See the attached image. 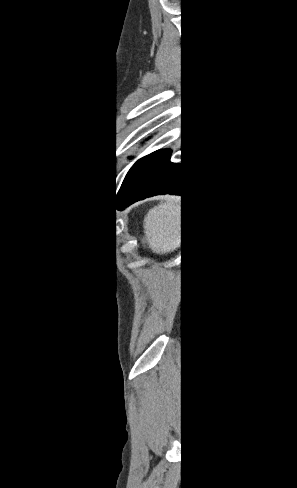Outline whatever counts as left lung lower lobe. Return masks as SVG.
I'll use <instances>...</instances> for the list:
<instances>
[{
	"label": "left lung lower lobe",
	"instance_id": "obj_1",
	"mask_svg": "<svg viewBox=\"0 0 297 488\" xmlns=\"http://www.w3.org/2000/svg\"><path fill=\"white\" fill-rule=\"evenodd\" d=\"M171 151L161 150L148 163L131 186L118 196L119 203H133L158 194H181L186 188L185 171L170 162Z\"/></svg>",
	"mask_w": 297,
	"mask_h": 488
}]
</instances>
